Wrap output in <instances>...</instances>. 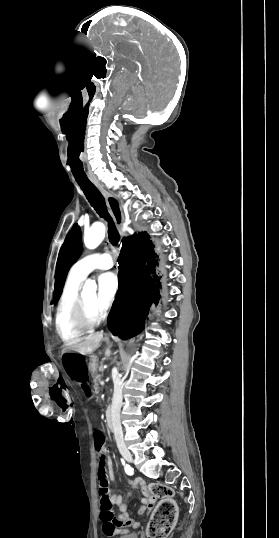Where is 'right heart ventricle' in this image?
<instances>
[{"instance_id":"1","label":"right heart ventricle","mask_w":279,"mask_h":538,"mask_svg":"<svg viewBox=\"0 0 279 538\" xmlns=\"http://www.w3.org/2000/svg\"><path fill=\"white\" fill-rule=\"evenodd\" d=\"M107 233L108 226L105 218L98 216L95 222L90 227L85 229V241H87L92 235H99L102 237ZM85 278L86 277H78L74 275L70 270L57 305L55 318L56 329L59 336L65 342L73 341L87 332V330L84 329H74L68 322L70 308L78 299Z\"/></svg>"}]
</instances>
